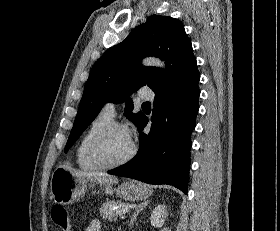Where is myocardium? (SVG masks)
I'll list each match as a JSON object with an SVG mask.
<instances>
[{
    "label": "myocardium",
    "mask_w": 280,
    "mask_h": 231,
    "mask_svg": "<svg viewBox=\"0 0 280 231\" xmlns=\"http://www.w3.org/2000/svg\"><path fill=\"white\" fill-rule=\"evenodd\" d=\"M113 129L125 130L126 127L119 122L111 121L95 134L88 146V157L90 161L103 169L123 166L127 164L135 155V146L131 143L130 149L126 155L117 161L109 162L99 156V147L101 142Z\"/></svg>",
    "instance_id": "f54148a6"
}]
</instances>
